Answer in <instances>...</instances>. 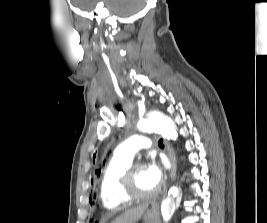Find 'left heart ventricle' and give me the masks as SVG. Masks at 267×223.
<instances>
[{
  "mask_svg": "<svg viewBox=\"0 0 267 223\" xmlns=\"http://www.w3.org/2000/svg\"><path fill=\"white\" fill-rule=\"evenodd\" d=\"M135 188L140 193H150L157 189L147 177L145 167L139 169L135 174Z\"/></svg>",
  "mask_w": 267,
  "mask_h": 223,
  "instance_id": "1",
  "label": "left heart ventricle"
}]
</instances>
